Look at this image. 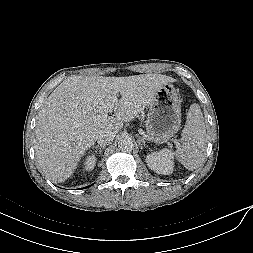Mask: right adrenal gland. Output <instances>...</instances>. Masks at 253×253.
<instances>
[{"mask_svg": "<svg viewBox=\"0 0 253 253\" xmlns=\"http://www.w3.org/2000/svg\"><path fill=\"white\" fill-rule=\"evenodd\" d=\"M105 145H103V146H99V145H97V146H95L94 144L92 145V148H96V149H99V153L101 154L102 153V151L105 149Z\"/></svg>", "mask_w": 253, "mask_h": 253, "instance_id": "right-adrenal-gland-1", "label": "right adrenal gland"}]
</instances>
